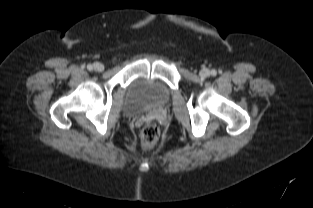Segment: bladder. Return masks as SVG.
Returning <instances> with one entry per match:
<instances>
[{
    "label": "bladder",
    "mask_w": 313,
    "mask_h": 208,
    "mask_svg": "<svg viewBox=\"0 0 313 208\" xmlns=\"http://www.w3.org/2000/svg\"><path fill=\"white\" fill-rule=\"evenodd\" d=\"M170 96L168 86L159 80L135 79L129 86L125 109L131 113L142 112L163 105Z\"/></svg>",
    "instance_id": "1"
}]
</instances>
